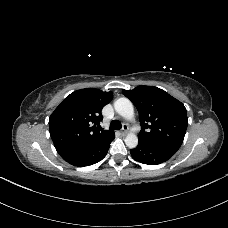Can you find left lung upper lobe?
Instances as JSON below:
<instances>
[{"label":"left lung upper lobe","instance_id":"left-lung-upper-lobe-1","mask_svg":"<svg viewBox=\"0 0 228 228\" xmlns=\"http://www.w3.org/2000/svg\"><path fill=\"white\" fill-rule=\"evenodd\" d=\"M122 92L139 112L140 143L180 148L188 125L186 108L180 101L153 86Z\"/></svg>","mask_w":228,"mask_h":228}]
</instances>
